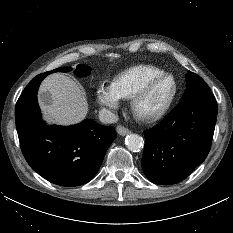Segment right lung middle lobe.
I'll return each instance as SVG.
<instances>
[{"instance_id": "right-lung-middle-lobe-1", "label": "right lung middle lobe", "mask_w": 233, "mask_h": 233, "mask_svg": "<svg viewBox=\"0 0 233 233\" xmlns=\"http://www.w3.org/2000/svg\"><path fill=\"white\" fill-rule=\"evenodd\" d=\"M71 70H72L71 67H61V68L54 69L50 72H47V74H50L53 72H69ZM74 73L79 77L87 76L91 73V67L84 65V64H80L77 66Z\"/></svg>"}]
</instances>
